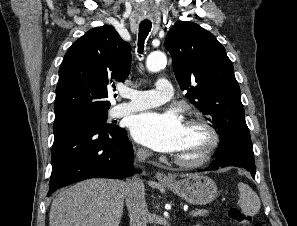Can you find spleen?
<instances>
[{
    "label": "spleen",
    "instance_id": "spleen-1",
    "mask_svg": "<svg viewBox=\"0 0 297 226\" xmlns=\"http://www.w3.org/2000/svg\"><path fill=\"white\" fill-rule=\"evenodd\" d=\"M239 189V200L238 205L240 206L241 210L249 216L256 215L261 206L260 199L258 195L251 189V187L245 183H238Z\"/></svg>",
    "mask_w": 297,
    "mask_h": 226
}]
</instances>
